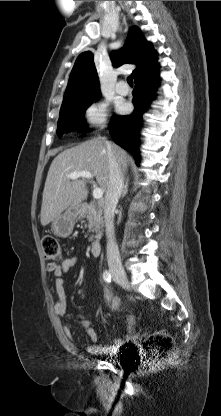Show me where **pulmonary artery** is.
Returning a JSON list of instances; mask_svg holds the SVG:
<instances>
[{
  "label": "pulmonary artery",
  "instance_id": "obj_1",
  "mask_svg": "<svg viewBox=\"0 0 221 416\" xmlns=\"http://www.w3.org/2000/svg\"><path fill=\"white\" fill-rule=\"evenodd\" d=\"M116 92L120 95H127L129 93V87L125 86L123 81H120L116 87Z\"/></svg>",
  "mask_w": 221,
  "mask_h": 416
}]
</instances>
